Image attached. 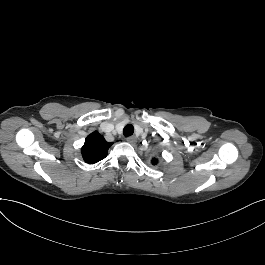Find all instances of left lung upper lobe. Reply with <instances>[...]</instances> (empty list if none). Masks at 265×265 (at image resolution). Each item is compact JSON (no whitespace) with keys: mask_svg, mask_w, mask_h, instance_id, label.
<instances>
[{"mask_svg":"<svg viewBox=\"0 0 265 265\" xmlns=\"http://www.w3.org/2000/svg\"><path fill=\"white\" fill-rule=\"evenodd\" d=\"M152 163L155 165L157 163L156 159H152Z\"/></svg>","mask_w":265,"mask_h":265,"instance_id":"obj_1","label":"left lung upper lobe"}]
</instances>
